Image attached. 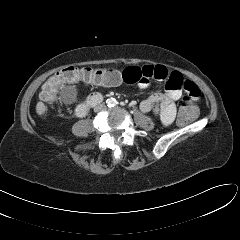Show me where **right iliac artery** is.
<instances>
[{"label":"right iliac artery","instance_id":"right-iliac-artery-1","mask_svg":"<svg viewBox=\"0 0 240 240\" xmlns=\"http://www.w3.org/2000/svg\"><path fill=\"white\" fill-rule=\"evenodd\" d=\"M113 102H114L113 100H109L108 101V106H110V107L113 106Z\"/></svg>","mask_w":240,"mask_h":240}]
</instances>
